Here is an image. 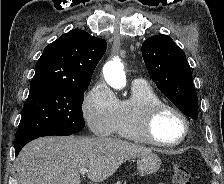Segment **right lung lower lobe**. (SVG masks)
<instances>
[{
  "instance_id": "98d812e1",
  "label": "right lung lower lobe",
  "mask_w": 224,
  "mask_h": 184,
  "mask_svg": "<svg viewBox=\"0 0 224 184\" xmlns=\"http://www.w3.org/2000/svg\"><path fill=\"white\" fill-rule=\"evenodd\" d=\"M73 133H63V132H47V133H42V134H37V135H34V136H31L27 139H25L24 141H22L21 143L15 145V155L17 156L18 153L20 152V150L30 141L36 139V138H39V137H42V136H51V135H59V136H62V135H72Z\"/></svg>"
}]
</instances>
